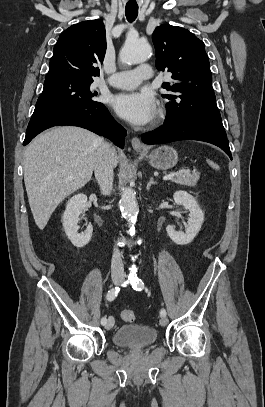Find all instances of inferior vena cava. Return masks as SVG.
Wrapping results in <instances>:
<instances>
[{"label":"inferior vena cava","mask_w":265,"mask_h":407,"mask_svg":"<svg viewBox=\"0 0 265 407\" xmlns=\"http://www.w3.org/2000/svg\"><path fill=\"white\" fill-rule=\"evenodd\" d=\"M115 155V149L111 147L109 143H101L95 159L94 173L100 186V190L104 195H109L112 191ZM111 274L112 277L124 278L123 262L121 254L117 248L113 251Z\"/></svg>","instance_id":"602c4592"}]
</instances>
